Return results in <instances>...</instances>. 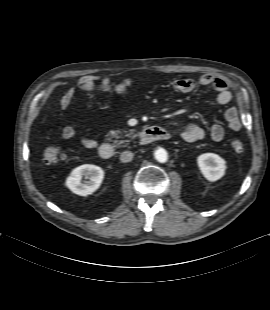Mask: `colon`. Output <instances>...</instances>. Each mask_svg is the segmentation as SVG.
<instances>
[{
    "label": "colon",
    "instance_id": "5ec220e1",
    "mask_svg": "<svg viewBox=\"0 0 270 310\" xmlns=\"http://www.w3.org/2000/svg\"><path fill=\"white\" fill-rule=\"evenodd\" d=\"M109 81H104L103 86L105 88L110 87ZM233 151L240 153L244 149V141L240 138H233L230 142ZM45 160L49 163H59L66 160V154L63 149L59 146H51L45 150Z\"/></svg>",
    "mask_w": 270,
    "mask_h": 310
}]
</instances>
